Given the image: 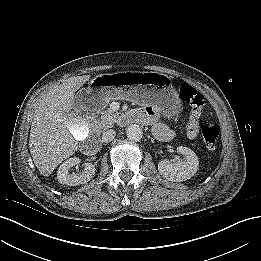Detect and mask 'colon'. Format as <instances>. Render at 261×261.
<instances>
[{
    "label": "colon",
    "instance_id": "colon-1",
    "mask_svg": "<svg viewBox=\"0 0 261 261\" xmlns=\"http://www.w3.org/2000/svg\"><path fill=\"white\" fill-rule=\"evenodd\" d=\"M179 95L184 102L191 106L187 135L190 138H195L201 133L205 149L208 152H213L219 139L220 127L213 121L201 120L205 106L204 96L187 83L180 85Z\"/></svg>",
    "mask_w": 261,
    "mask_h": 261
}]
</instances>
